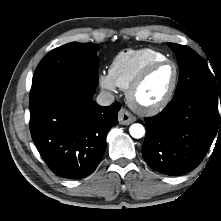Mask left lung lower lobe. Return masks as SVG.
Instances as JSON below:
<instances>
[{
	"label": "left lung lower lobe",
	"instance_id": "0a47b994",
	"mask_svg": "<svg viewBox=\"0 0 221 221\" xmlns=\"http://www.w3.org/2000/svg\"><path fill=\"white\" fill-rule=\"evenodd\" d=\"M145 122L144 160L170 176L195 169L221 132L218 101L197 91L174 96L161 113Z\"/></svg>",
	"mask_w": 221,
	"mask_h": 221
}]
</instances>
